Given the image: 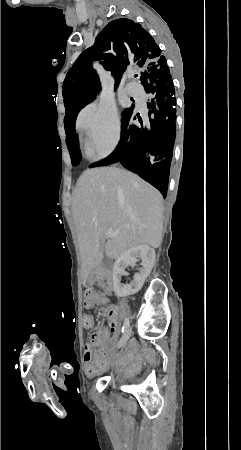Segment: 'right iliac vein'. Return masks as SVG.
<instances>
[{"mask_svg": "<svg viewBox=\"0 0 241 450\" xmlns=\"http://www.w3.org/2000/svg\"><path fill=\"white\" fill-rule=\"evenodd\" d=\"M132 330L131 328H127V330L125 331V333L123 334V336L121 337L118 346L122 347L123 345L126 344V342L128 341L129 337L131 336Z\"/></svg>", "mask_w": 241, "mask_h": 450, "instance_id": "1", "label": "right iliac vein"}]
</instances>
